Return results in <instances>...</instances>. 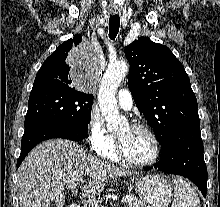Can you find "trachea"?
Masks as SVG:
<instances>
[{
    "label": "trachea",
    "instance_id": "1",
    "mask_svg": "<svg viewBox=\"0 0 220 207\" xmlns=\"http://www.w3.org/2000/svg\"><path fill=\"white\" fill-rule=\"evenodd\" d=\"M120 26V17L119 16H111L109 19V38L111 40H115Z\"/></svg>",
    "mask_w": 220,
    "mask_h": 207
}]
</instances>
